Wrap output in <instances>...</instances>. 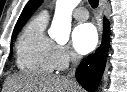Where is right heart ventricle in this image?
Masks as SVG:
<instances>
[{"mask_svg": "<svg viewBox=\"0 0 127 92\" xmlns=\"http://www.w3.org/2000/svg\"><path fill=\"white\" fill-rule=\"evenodd\" d=\"M48 15L42 12L35 16L22 31L16 47V65L26 74L44 75L53 73L56 44L45 33Z\"/></svg>", "mask_w": 127, "mask_h": 92, "instance_id": "right-heart-ventricle-1", "label": "right heart ventricle"}]
</instances>
